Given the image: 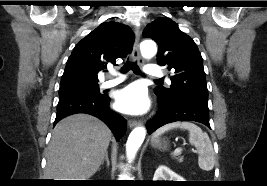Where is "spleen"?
<instances>
[{
  "label": "spleen",
  "instance_id": "obj_1",
  "mask_svg": "<svg viewBox=\"0 0 267 186\" xmlns=\"http://www.w3.org/2000/svg\"><path fill=\"white\" fill-rule=\"evenodd\" d=\"M174 128H181L189 131V142L197 149L199 167L206 171L211 170L215 163L211 140L208 134L203 132L202 129L194 123L183 121L164 125L153 133L152 140H156L160 135Z\"/></svg>",
  "mask_w": 267,
  "mask_h": 186
}]
</instances>
